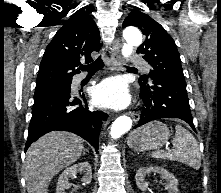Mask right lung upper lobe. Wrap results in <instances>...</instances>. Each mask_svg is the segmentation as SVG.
Listing matches in <instances>:
<instances>
[{
  "mask_svg": "<svg viewBox=\"0 0 221 193\" xmlns=\"http://www.w3.org/2000/svg\"><path fill=\"white\" fill-rule=\"evenodd\" d=\"M99 30L86 13H76L61 27L47 46L36 80V87L71 82L80 71L81 59L92 60L99 51Z\"/></svg>",
  "mask_w": 221,
  "mask_h": 193,
  "instance_id": "obj_1",
  "label": "right lung upper lobe"
}]
</instances>
